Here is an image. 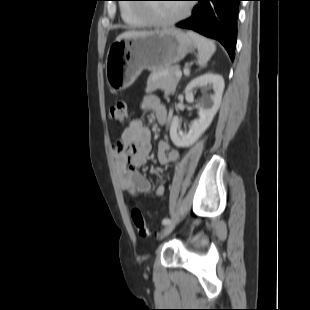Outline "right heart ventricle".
Returning <instances> with one entry per match:
<instances>
[{"label": "right heart ventricle", "instance_id": "1", "mask_svg": "<svg viewBox=\"0 0 310 310\" xmlns=\"http://www.w3.org/2000/svg\"><path fill=\"white\" fill-rule=\"evenodd\" d=\"M120 14L125 24L131 28L144 27L148 24V20L143 16H139L136 12V8L131 4H121Z\"/></svg>", "mask_w": 310, "mask_h": 310}]
</instances>
